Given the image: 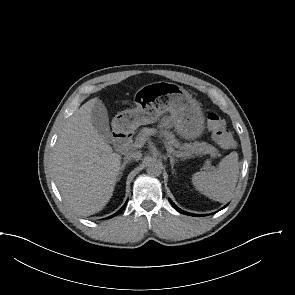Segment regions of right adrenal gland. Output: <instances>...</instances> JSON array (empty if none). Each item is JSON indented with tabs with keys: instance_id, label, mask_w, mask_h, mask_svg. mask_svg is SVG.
<instances>
[{
	"instance_id": "obj_1",
	"label": "right adrenal gland",
	"mask_w": 295,
	"mask_h": 295,
	"mask_svg": "<svg viewBox=\"0 0 295 295\" xmlns=\"http://www.w3.org/2000/svg\"><path fill=\"white\" fill-rule=\"evenodd\" d=\"M128 163H129L128 160H125V161L122 163V165H121L120 168H119V171H118V175H117V179H116V181H119V180L121 179L122 174H123V171H124V169H125V167H126V164H128Z\"/></svg>"
}]
</instances>
